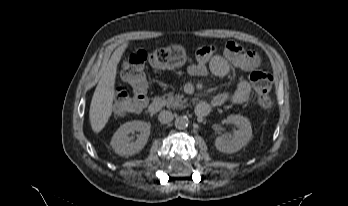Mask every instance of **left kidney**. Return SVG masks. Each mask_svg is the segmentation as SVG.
I'll return each instance as SVG.
<instances>
[{
	"label": "left kidney",
	"mask_w": 348,
	"mask_h": 206,
	"mask_svg": "<svg viewBox=\"0 0 348 206\" xmlns=\"http://www.w3.org/2000/svg\"><path fill=\"white\" fill-rule=\"evenodd\" d=\"M226 121L236 125L238 129L234 131L232 137L224 135L217 137L215 146L217 150L223 153L232 154L238 152L248 144L252 138V128L250 121L241 115H230Z\"/></svg>",
	"instance_id": "obj_1"
}]
</instances>
